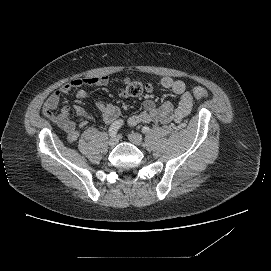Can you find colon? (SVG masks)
<instances>
[{
    "label": "colon",
    "mask_w": 271,
    "mask_h": 271,
    "mask_svg": "<svg viewBox=\"0 0 271 271\" xmlns=\"http://www.w3.org/2000/svg\"><path fill=\"white\" fill-rule=\"evenodd\" d=\"M152 89V85L135 80L130 82L127 86V93L129 96H138L141 95L144 91H152ZM191 93L195 98L198 99H204L209 96L207 90L202 87L193 88Z\"/></svg>",
    "instance_id": "obj_1"
}]
</instances>
